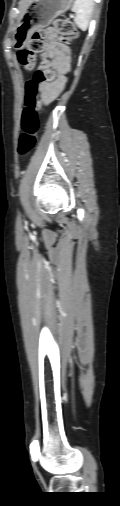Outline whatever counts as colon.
Returning <instances> with one entry per match:
<instances>
[{
    "label": "colon",
    "mask_w": 120,
    "mask_h": 506,
    "mask_svg": "<svg viewBox=\"0 0 120 506\" xmlns=\"http://www.w3.org/2000/svg\"><path fill=\"white\" fill-rule=\"evenodd\" d=\"M54 28L61 41L70 43L78 34L74 24L67 19H57ZM44 31H36L30 38L27 48L18 52L20 65L30 71L35 66L36 55L44 49ZM47 58L52 59L53 53H47ZM55 78V72L47 68H39L26 83L25 105L21 116V134L18 144L20 156H26L35 147L37 133L40 126L38 110L41 105V84L51 82Z\"/></svg>",
    "instance_id": "5ec220e1"
}]
</instances>
